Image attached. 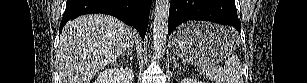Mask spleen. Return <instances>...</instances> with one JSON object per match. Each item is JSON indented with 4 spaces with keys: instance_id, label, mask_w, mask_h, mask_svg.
Listing matches in <instances>:
<instances>
[{
    "instance_id": "3e777b00",
    "label": "spleen",
    "mask_w": 307,
    "mask_h": 83,
    "mask_svg": "<svg viewBox=\"0 0 307 83\" xmlns=\"http://www.w3.org/2000/svg\"><path fill=\"white\" fill-rule=\"evenodd\" d=\"M200 74L214 83H243L242 64L238 56L232 55L225 60L224 68H215L206 63L199 69Z\"/></svg>"
}]
</instances>
